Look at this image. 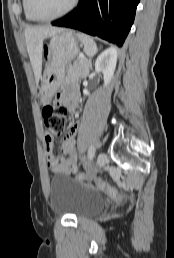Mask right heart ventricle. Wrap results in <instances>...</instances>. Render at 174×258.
<instances>
[{"mask_svg":"<svg viewBox=\"0 0 174 258\" xmlns=\"http://www.w3.org/2000/svg\"><path fill=\"white\" fill-rule=\"evenodd\" d=\"M22 7H23V11H24V15H25L26 19L29 20V21H35V20L30 16V14H29L28 11H27V8H26V0H22Z\"/></svg>","mask_w":174,"mask_h":258,"instance_id":"1","label":"right heart ventricle"}]
</instances>
